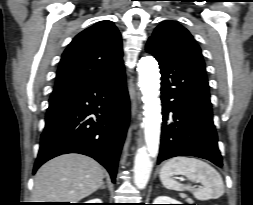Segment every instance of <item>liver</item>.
Returning a JSON list of instances; mask_svg holds the SVG:
<instances>
[{"mask_svg":"<svg viewBox=\"0 0 253 205\" xmlns=\"http://www.w3.org/2000/svg\"><path fill=\"white\" fill-rule=\"evenodd\" d=\"M103 177L104 170L94 159L80 154L61 155L37 171L33 199L77 203L98 190Z\"/></svg>","mask_w":253,"mask_h":205,"instance_id":"liver-1","label":"liver"}]
</instances>
